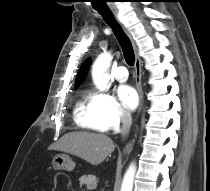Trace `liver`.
<instances>
[{
    "label": "liver",
    "instance_id": "obj_1",
    "mask_svg": "<svg viewBox=\"0 0 210 191\" xmlns=\"http://www.w3.org/2000/svg\"><path fill=\"white\" fill-rule=\"evenodd\" d=\"M111 138L104 134L70 132L63 135L49 149L75 155L92 165H98L114 151Z\"/></svg>",
    "mask_w": 210,
    "mask_h": 191
}]
</instances>
